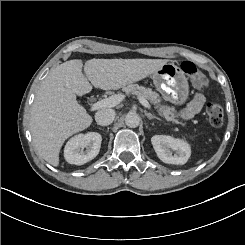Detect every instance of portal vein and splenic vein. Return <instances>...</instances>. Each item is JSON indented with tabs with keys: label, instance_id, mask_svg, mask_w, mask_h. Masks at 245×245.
<instances>
[{
	"label": "portal vein and splenic vein",
	"instance_id": "18ae733b",
	"mask_svg": "<svg viewBox=\"0 0 245 245\" xmlns=\"http://www.w3.org/2000/svg\"><path fill=\"white\" fill-rule=\"evenodd\" d=\"M124 98H125V96L120 95V94L110 96L108 98L102 99V100L94 103L93 106L91 107V110L95 111V110L102 109V108L115 107L116 105L120 104V102H122ZM138 99H139V102L144 107L150 108V104L145 98L139 97Z\"/></svg>",
	"mask_w": 245,
	"mask_h": 245
}]
</instances>
